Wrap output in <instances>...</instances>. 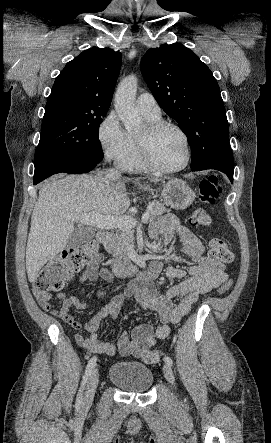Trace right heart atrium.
<instances>
[{
  "label": "right heart atrium",
  "instance_id": "1",
  "mask_svg": "<svg viewBox=\"0 0 271 443\" xmlns=\"http://www.w3.org/2000/svg\"><path fill=\"white\" fill-rule=\"evenodd\" d=\"M97 139L105 157L122 165L130 152L127 133L114 110L108 112L97 128Z\"/></svg>",
  "mask_w": 271,
  "mask_h": 443
}]
</instances>
